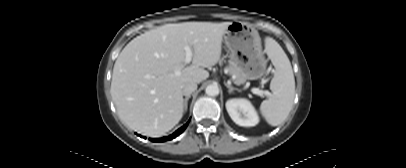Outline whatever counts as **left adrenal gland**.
Instances as JSON below:
<instances>
[{"instance_id":"1","label":"left adrenal gland","mask_w":406,"mask_h":168,"mask_svg":"<svg viewBox=\"0 0 406 168\" xmlns=\"http://www.w3.org/2000/svg\"><path fill=\"white\" fill-rule=\"evenodd\" d=\"M225 86L228 88V92L232 93L234 90H237L236 88L230 86L229 84H227L226 82H224Z\"/></svg>"}]
</instances>
